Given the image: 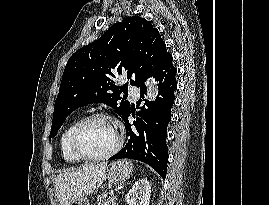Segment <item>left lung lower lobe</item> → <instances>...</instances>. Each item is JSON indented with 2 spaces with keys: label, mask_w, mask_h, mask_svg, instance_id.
Wrapping results in <instances>:
<instances>
[{
  "label": "left lung lower lobe",
  "mask_w": 269,
  "mask_h": 205,
  "mask_svg": "<svg viewBox=\"0 0 269 205\" xmlns=\"http://www.w3.org/2000/svg\"><path fill=\"white\" fill-rule=\"evenodd\" d=\"M176 73L173 57L169 54L154 75L155 80L159 82L156 100L145 102L146 106L141 107V111L136 113L132 125L128 122L131 109L122 118L126 123L128 143L110 160L128 158L142 161L165 179L168 162L167 126L171 121V108L175 100ZM140 92L143 98L146 85L140 87ZM132 113L134 115V112Z\"/></svg>",
  "instance_id": "left-lung-lower-lobe-1"
}]
</instances>
